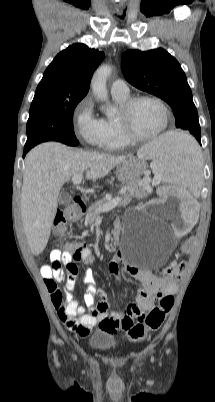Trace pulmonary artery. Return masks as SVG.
Listing matches in <instances>:
<instances>
[{
    "label": "pulmonary artery",
    "mask_w": 215,
    "mask_h": 402,
    "mask_svg": "<svg viewBox=\"0 0 215 402\" xmlns=\"http://www.w3.org/2000/svg\"><path fill=\"white\" fill-rule=\"evenodd\" d=\"M111 93L117 95H128L129 87L124 80L117 79L111 85Z\"/></svg>",
    "instance_id": "obj_1"
}]
</instances>
